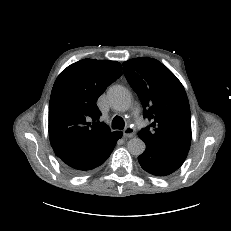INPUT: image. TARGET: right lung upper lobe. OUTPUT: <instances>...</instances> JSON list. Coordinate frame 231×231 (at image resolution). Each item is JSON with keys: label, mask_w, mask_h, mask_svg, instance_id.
I'll list each match as a JSON object with an SVG mask.
<instances>
[{"label": "right lung upper lobe", "mask_w": 231, "mask_h": 231, "mask_svg": "<svg viewBox=\"0 0 231 231\" xmlns=\"http://www.w3.org/2000/svg\"><path fill=\"white\" fill-rule=\"evenodd\" d=\"M121 75L119 62L95 59L80 60L60 73L49 109V139L55 153L92 148L116 133L99 122L96 102Z\"/></svg>", "instance_id": "obj_1"}]
</instances>
